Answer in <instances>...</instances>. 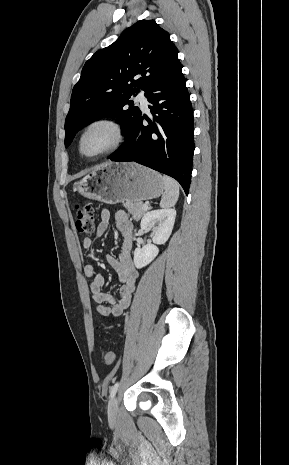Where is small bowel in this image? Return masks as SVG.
<instances>
[{
	"mask_svg": "<svg viewBox=\"0 0 289 465\" xmlns=\"http://www.w3.org/2000/svg\"><path fill=\"white\" fill-rule=\"evenodd\" d=\"M114 218L123 242L118 257L108 256L107 262L115 270L121 283L119 297H114L104 291V277L96 271L94 266L86 265L84 267L85 276L91 279L90 291L93 300L97 303V311L105 317H117L122 314L130 303L138 279V271L132 259L133 225L124 211H117ZM109 222L110 212L103 209L100 213V222L96 228L97 237H102L106 233ZM92 245V238L86 237L83 239V249L88 250Z\"/></svg>",
	"mask_w": 289,
	"mask_h": 465,
	"instance_id": "1",
	"label": "small bowel"
}]
</instances>
